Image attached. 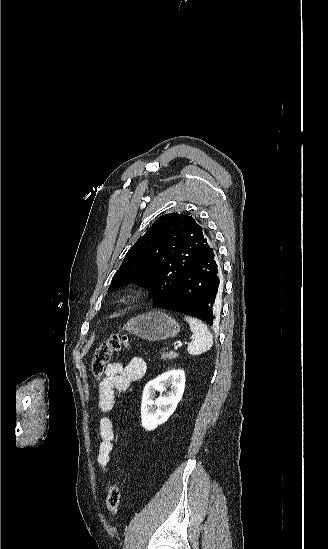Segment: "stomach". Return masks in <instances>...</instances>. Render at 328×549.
<instances>
[{"instance_id":"stomach-1","label":"stomach","mask_w":328,"mask_h":549,"mask_svg":"<svg viewBox=\"0 0 328 549\" xmlns=\"http://www.w3.org/2000/svg\"><path fill=\"white\" fill-rule=\"evenodd\" d=\"M122 331H127L130 335H136L146 341H164V339L176 337L180 331V325L163 311H149L129 319L123 325Z\"/></svg>"}]
</instances>
